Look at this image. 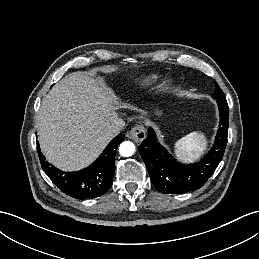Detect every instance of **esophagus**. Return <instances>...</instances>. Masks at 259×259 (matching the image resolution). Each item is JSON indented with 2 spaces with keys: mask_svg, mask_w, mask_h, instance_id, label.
Returning <instances> with one entry per match:
<instances>
[{
  "mask_svg": "<svg viewBox=\"0 0 259 259\" xmlns=\"http://www.w3.org/2000/svg\"><path fill=\"white\" fill-rule=\"evenodd\" d=\"M129 137L137 143L142 142L146 137L145 127L142 124L134 126L129 132Z\"/></svg>",
  "mask_w": 259,
  "mask_h": 259,
  "instance_id": "obj_1",
  "label": "esophagus"
}]
</instances>
